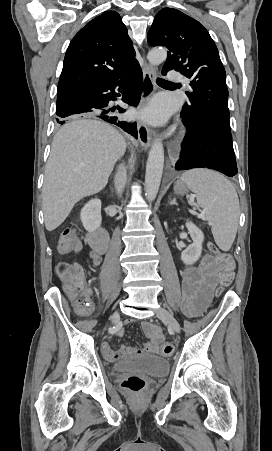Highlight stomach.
I'll list each match as a JSON object with an SVG mask.
<instances>
[{"instance_id": "stomach-1", "label": "stomach", "mask_w": 272, "mask_h": 451, "mask_svg": "<svg viewBox=\"0 0 272 451\" xmlns=\"http://www.w3.org/2000/svg\"><path fill=\"white\" fill-rule=\"evenodd\" d=\"M174 192L175 194H187L188 190L185 188L183 182H180V180H177L174 184Z\"/></svg>"}]
</instances>
